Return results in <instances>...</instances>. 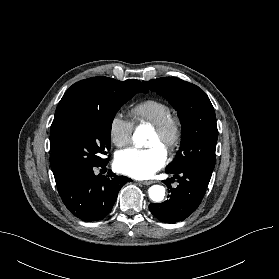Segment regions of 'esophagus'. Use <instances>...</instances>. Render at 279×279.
Returning <instances> with one entry per match:
<instances>
[{
	"label": "esophagus",
	"instance_id": "esophagus-1",
	"mask_svg": "<svg viewBox=\"0 0 279 279\" xmlns=\"http://www.w3.org/2000/svg\"><path fill=\"white\" fill-rule=\"evenodd\" d=\"M140 184H143V185H150V184H153V183H155V181H140L139 182Z\"/></svg>",
	"mask_w": 279,
	"mask_h": 279
}]
</instances>
